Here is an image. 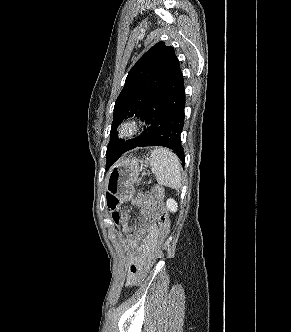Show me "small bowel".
I'll return each mask as SVG.
<instances>
[{
    "label": "small bowel",
    "mask_w": 291,
    "mask_h": 332,
    "mask_svg": "<svg viewBox=\"0 0 291 332\" xmlns=\"http://www.w3.org/2000/svg\"><path fill=\"white\" fill-rule=\"evenodd\" d=\"M124 233H129L128 244L134 248L132 257L131 274L135 266L144 263L152 254L160 237V226L156 223L148 227L133 230L128 222L122 224Z\"/></svg>",
    "instance_id": "1"
}]
</instances>
